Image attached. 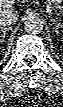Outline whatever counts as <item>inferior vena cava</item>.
<instances>
[{"mask_svg": "<svg viewBox=\"0 0 63 107\" xmlns=\"http://www.w3.org/2000/svg\"><path fill=\"white\" fill-rule=\"evenodd\" d=\"M18 19V14L16 11L11 9H3L0 11V25L4 26L13 25Z\"/></svg>", "mask_w": 63, "mask_h": 107, "instance_id": "602c4592", "label": "inferior vena cava"}]
</instances>
